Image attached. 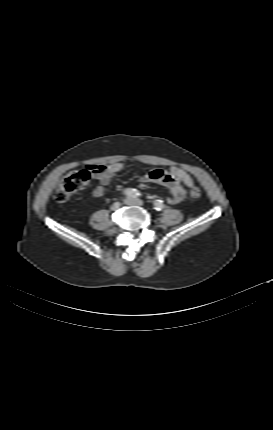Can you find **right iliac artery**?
<instances>
[{"label":"right iliac artery","instance_id":"right-iliac-artery-1","mask_svg":"<svg viewBox=\"0 0 273 430\" xmlns=\"http://www.w3.org/2000/svg\"><path fill=\"white\" fill-rule=\"evenodd\" d=\"M123 194L128 198H136L140 195V192L137 189L127 188L123 191Z\"/></svg>","mask_w":273,"mask_h":430}]
</instances>
